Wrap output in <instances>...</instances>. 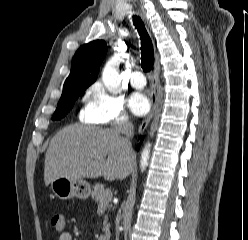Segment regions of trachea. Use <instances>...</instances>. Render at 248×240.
I'll return each mask as SVG.
<instances>
[{"label":"trachea","mask_w":248,"mask_h":240,"mask_svg":"<svg viewBox=\"0 0 248 240\" xmlns=\"http://www.w3.org/2000/svg\"><path fill=\"white\" fill-rule=\"evenodd\" d=\"M133 22L141 39V66L144 71L150 72L153 70L155 61L151 38L139 17L133 16Z\"/></svg>","instance_id":"1"}]
</instances>
